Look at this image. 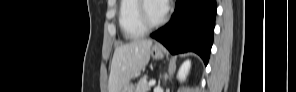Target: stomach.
Here are the masks:
<instances>
[{
	"instance_id": "stomach-1",
	"label": "stomach",
	"mask_w": 296,
	"mask_h": 92,
	"mask_svg": "<svg viewBox=\"0 0 296 92\" xmlns=\"http://www.w3.org/2000/svg\"><path fill=\"white\" fill-rule=\"evenodd\" d=\"M151 55L154 59H162L164 57L163 51L157 47H153L151 50ZM121 92H135L133 84H127Z\"/></svg>"
}]
</instances>
